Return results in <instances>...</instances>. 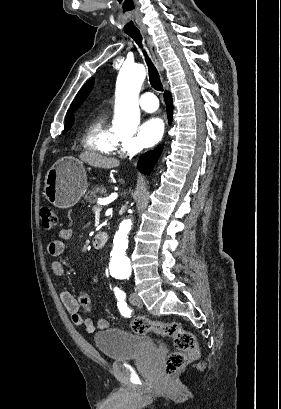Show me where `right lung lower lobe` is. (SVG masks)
<instances>
[{
    "label": "right lung lower lobe",
    "instance_id": "98d812e1",
    "mask_svg": "<svg viewBox=\"0 0 281 409\" xmlns=\"http://www.w3.org/2000/svg\"><path fill=\"white\" fill-rule=\"evenodd\" d=\"M164 100L166 102L167 114H168V121L171 123L172 121V111H173V102L172 96L169 91H165L164 93ZM162 148H156L154 151H149L144 154L137 164L139 170L144 174H149L152 170L154 164L156 163L157 159L161 154Z\"/></svg>",
    "mask_w": 281,
    "mask_h": 409
}]
</instances>
